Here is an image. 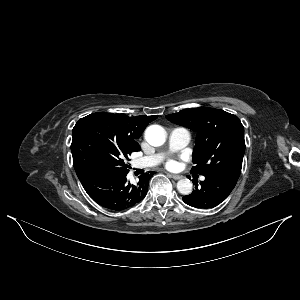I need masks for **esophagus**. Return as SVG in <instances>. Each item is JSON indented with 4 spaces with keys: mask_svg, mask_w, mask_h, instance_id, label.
<instances>
[{
    "mask_svg": "<svg viewBox=\"0 0 300 300\" xmlns=\"http://www.w3.org/2000/svg\"><path fill=\"white\" fill-rule=\"evenodd\" d=\"M170 178L174 179V180H179L182 178L181 175H176V174H168Z\"/></svg>",
    "mask_w": 300,
    "mask_h": 300,
    "instance_id": "esophagus-1",
    "label": "esophagus"
}]
</instances>
